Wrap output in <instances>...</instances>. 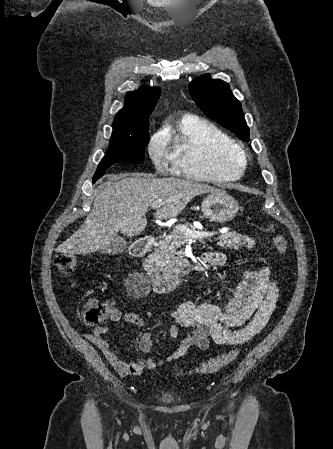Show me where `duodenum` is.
Returning a JSON list of instances; mask_svg holds the SVG:
<instances>
[{
	"label": "duodenum",
	"instance_id": "410a0bca",
	"mask_svg": "<svg viewBox=\"0 0 333 449\" xmlns=\"http://www.w3.org/2000/svg\"><path fill=\"white\" fill-rule=\"evenodd\" d=\"M156 240L152 236H146L136 241L130 248V254L136 258H144L155 246ZM208 261L207 254L203 255L201 262ZM142 265L147 273L153 291L168 293L180 286L183 281L194 271L192 265H185L174 272L162 273L149 260L144 259Z\"/></svg>",
	"mask_w": 333,
	"mask_h": 449
}]
</instances>
